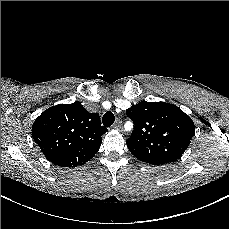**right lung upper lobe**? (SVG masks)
<instances>
[{
  "label": "right lung upper lobe",
  "instance_id": "cb5924a9",
  "mask_svg": "<svg viewBox=\"0 0 229 229\" xmlns=\"http://www.w3.org/2000/svg\"><path fill=\"white\" fill-rule=\"evenodd\" d=\"M106 132L100 116L80 102L50 107L32 126L33 139L45 157L62 167H76L93 158Z\"/></svg>",
  "mask_w": 229,
  "mask_h": 229
}]
</instances>
